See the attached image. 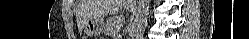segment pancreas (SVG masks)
Returning <instances> with one entry per match:
<instances>
[{"label":"pancreas","mask_w":249,"mask_h":39,"mask_svg":"<svg viewBox=\"0 0 249 39\" xmlns=\"http://www.w3.org/2000/svg\"><path fill=\"white\" fill-rule=\"evenodd\" d=\"M122 23V20L117 17L109 18L105 24L104 33L108 36H118Z\"/></svg>","instance_id":"pancreas-1"}]
</instances>
